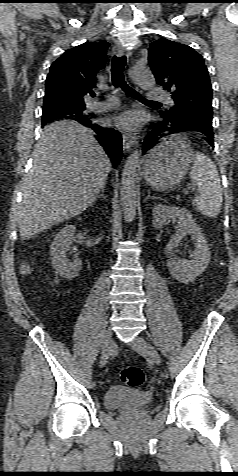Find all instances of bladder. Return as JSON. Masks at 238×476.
<instances>
[{"label": "bladder", "mask_w": 238, "mask_h": 476, "mask_svg": "<svg viewBox=\"0 0 238 476\" xmlns=\"http://www.w3.org/2000/svg\"><path fill=\"white\" fill-rule=\"evenodd\" d=\"M153 400L150 391L128 386L109 387L103 396V402L109 410H132L147 406Z\"/></svg>", "instance_id": "bladder-1"}]
</instances>
